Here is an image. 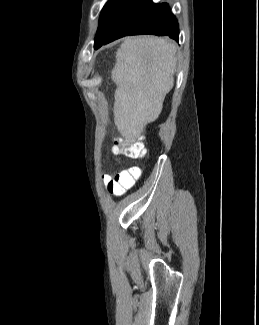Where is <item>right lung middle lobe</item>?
<instances>
[{"label":"right lung middle lobe","instance_id":"dd1d6c3e","mask_svg":"<svg viewBox=\"0 0 259 325\" xmlns=\"http://www.w3.org/2000/svg\"><path fill=\"white\" fill-rule=\"evenodd\" d=\"M134 0H109L104 6L95 37L94 46L103 42L114 30Z\"/></svg>","mask_w":259,"mask_h":325}]
</instances>
